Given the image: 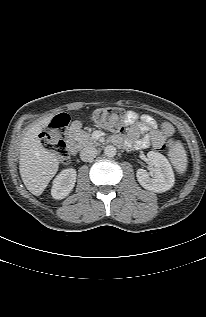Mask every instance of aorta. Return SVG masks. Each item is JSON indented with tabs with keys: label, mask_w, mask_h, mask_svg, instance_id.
<instances>
[{
	"label": "aorta",
	"mask_w": 206,
	"mask_h": 317,
	"mask_svg": "<svg viewBox=\"0 0 206 317\" xmlns=\"http://www.w3.org/2000/svg\"><path fill=\"white\" fill-rule=\"evenodd\" d=\"M116 153H117L116 147H114L113 145H108L104 149V154L107 157H114Z\"/></svg>",
	"instance_id": "obj_1"
}]
</instances>
